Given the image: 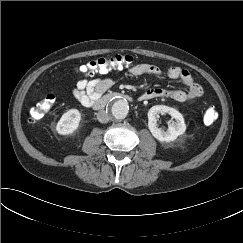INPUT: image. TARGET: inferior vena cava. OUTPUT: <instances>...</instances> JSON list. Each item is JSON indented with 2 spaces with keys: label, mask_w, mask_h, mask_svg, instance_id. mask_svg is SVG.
Instances as JSON below:
<instances>
[{
  "label": "inferior vena cava",
  "mask_w": 243,
  "mask_h": 243,
  "mask_svg": "<svg viewBox=\"0 0 243 243\" xmlns=\"http://www.w3.org/2000/svg\"><path fill=\"white\" fill-rule=\"evenodd\" d=\"M109 118V115L104 110H101L97 113V119L101 123H107L109 121Z\"/></svg>",
  "instance_id": "obj_1"
}]
</instances>
